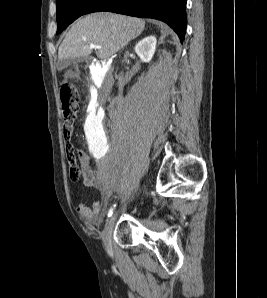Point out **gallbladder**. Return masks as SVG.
I'll use <instances>...</instances> for the list:
<instances>
[{
  "instance_id": "bac80fb5",
  "label": "gallbladder",
  "mask_w": 267,
  "mask_h": 298,
  "mask_svg": "<svg viewBox=\"0 0 267 298\" xmlns=\"http://www.w3.org/2000/svg\"><path fill=\"white\" fill-rule=\"evenodd\" d=\"M87 59V56L85 57H80L77 59H63V60H59L57 63V68L58 69H64L67 68L68 66L72 65V64H76L77 62L80 61H84Z\"/></svg>"
}]
</instances>
